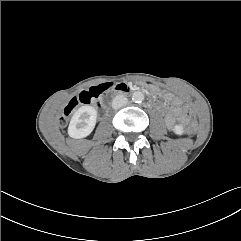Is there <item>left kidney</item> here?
Returning a JSON list of instances; mask_svg holds the SVG:
<instances>
[{
	"instance_id": "left-kidney-1",
	"label": "left kidney",
	"mask_w": 241,
	"mask_h": 241,
	"mask_svg": "<svg viewBox=\"0 0 241 241\" xmlns=\"http://www.w3.org/2000/svg\"><path fill=\"white\" fill-rule=\"evenodd\" d=\"M184 127L180 124L174 126V132L178 135H182L184 133Z\"/></svg>"
}]
</instances>
